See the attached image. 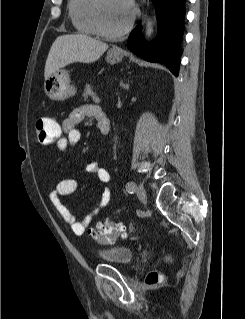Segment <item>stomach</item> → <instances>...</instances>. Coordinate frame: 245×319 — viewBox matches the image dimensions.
Here are the masks:
<instances>
[{
    "mask_svg": "<svg viewBox=\"0 0 245 319\" xmlns=\"http://www.w3.org/2000/svg\"><path fill=\"white\" fill-rule=\"evenodd\" d=\"M122 58V52L110 50L107 53L106 60L111 64H115L120 62ZM44 91L54 101H64L76 93L75 87L71 84L70 75L65 69H59L45 79Z\"/></svg>",
    "mask_w": 245,
    "mask_h": 319,
    "instance_id": "obj_1",
    "label": "stomach"
}]
</instances>
